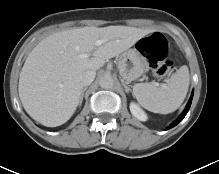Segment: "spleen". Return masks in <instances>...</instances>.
I'll return each instance as SVG.
<instances>
[{
  "label": "spleen",
  "instance_id": "3e777b00",
  "mask_svg": "<svg viewBox=\"0 0 219 174\" xmlns=\"http://www.w3.org/2000/svg\"><path fill=\"white\" fill-rule=\"evenodd\" d=\"M189 88V70L183 65L166 84L159 87L149 83L133 86V95L139 104L148 111L168 114L177 110L183 103Z\"/></svg>",
  "mask_w": 219,
  "mask_h": 174
}]
</instances>
